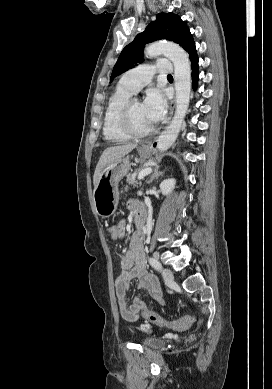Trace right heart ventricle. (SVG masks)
I'll use <instances>...</instances> for the list:
<instances>
[{
  "label": "right heart ventricle",
  "mask_w": 272,
  "mask_h": 389,
  "mask_svg": "<svg viewBox=\"0 0 272 389\" xmlns=\"http://www.w3.org/2000/svg\"><path fill=\"white\" fill-rule=\"evenodd\" d=\"M134 93L127 87L118 84L109 98L103 122V134L108 141L121 142L130 138L120 127L119 116L125 103Z\"/></svg>",
  "instance_id": "e07e8e85"
}]
</instances>
